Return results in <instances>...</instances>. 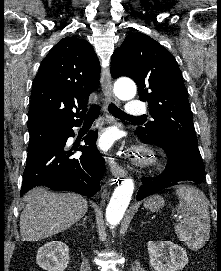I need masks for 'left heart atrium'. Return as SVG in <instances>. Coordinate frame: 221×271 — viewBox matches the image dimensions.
Listing matches in <instances>:
<instances>
[{"label": "left heart atrium", "instance_id": "39dd6f15", "mask_svg": "<svg viewBox=\"0 0 221 271\" xmlns=\"http://www.w3.org/2000/svg\"><path fill=\"white\" fill-rule=\"evenodd\" d=\"M119 138V133L113 130H105L99 138L100 145L104 148H110Z\"/></svg>", "mask_w": 221, "mask_h": 271}]
</instances>
